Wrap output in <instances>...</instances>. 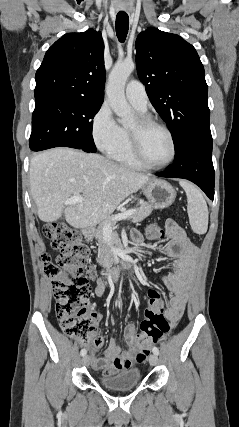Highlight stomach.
<instances>
[{
	"instance_id": "obj_1",
	"label": "stomach",
	"mask_w": 239,
	"mask_h": 427,
	"mask_svg": "<svg viewBox=\"0 0 239 427\" xmlns=\"http://www.w3.org/2000/svg\"><path fill=\"white\" fill-rule=\"evenodd\" d=\"M142 190L150 204L157 209L168 208L176 198V191L164 180L153 179L144 185ZM94 235L93 229L85 231V236L88 238H92Z\"/></svg>"
}]
</instances>
